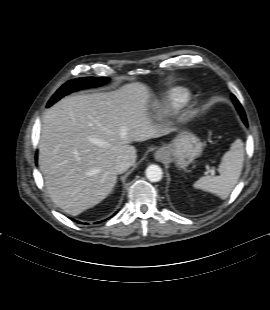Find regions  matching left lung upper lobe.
<instances>
[{"mask_svg": "<svg viewBox=\"0 0 270 310\" xmlns=\"http://www.w3.org/2000/svg\"><path fill=\"white\" fill-rule=\"evenodd\" d=\"M232 99H233L235 106L237 107L239 114L241 115L242 120L244 121L245 124H247L246 116H245V113L243 111L241 104L239 103V101L236 99L234 95H232Z\"/></svg>", "mask_w": 270, "mask_h": 310, "instance_id": "left-lung-upper-lobe-1", "label": "left lung upper lobe"}]
</instances>
